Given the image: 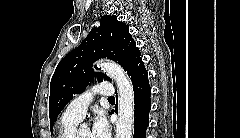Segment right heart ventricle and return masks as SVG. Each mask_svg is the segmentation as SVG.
I'll return each instance as SVG.
<instances>
[{
    "label": "right heart ventricle",
    "mask_w": 240,
    "mask_h": 138,
    "mask_svg": "<svg viewBox=\"0 0 240 138\" xmlns=\"http://www.w3.org/2000/svg\"><path fill=\"white\" fill-rule=\"evenodd\" d=\"M79 121L80 119L63 115L59 123L57 138H73Z\"/></svg>",
    "instance_id": "1"
}]
</instances>
